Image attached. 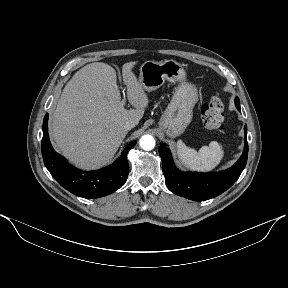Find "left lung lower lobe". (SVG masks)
<instances>
[{"label":"left lung lower lobe","mask_w":288,"mask_h":288,"mask_svg":"<svg viewBox=\"0 0 288 288\" xmlns=\"http://www.w3.org/2000/svg\"><path fill=\"white\" fill-rule=\"evenodd\" d=\"M240 111V102L235 101ZM245 148L239 160L229 169L217 173L181 172L172 160L171 152L164 144L158 147L165 182L170 191L178 196L194 201L214 198L230 188L245 168L248 157L247 126H244Z\"/></svg>","instance_id":"left-lung-lower-lobe-1"}]
</instances>
